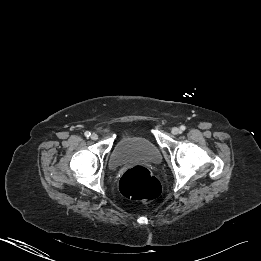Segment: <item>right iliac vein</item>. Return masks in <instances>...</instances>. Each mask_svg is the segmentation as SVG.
Instances as JSON below:
<instances>
[{"label":"right iliac vein","mask_w":261,"mask_h":261,"mask_svg":"<svg viewBox=\"0 0 261 261\" xmlns=\"http://www.w3.org/2000/svg\"><path fill=\"white\" fill-rule=\"evenodd\" d=\"M90 138L92 140H97L98 139V135L96 133H92Z\"/></svg>","instance_id":"63e3f726"}]
</instances>
